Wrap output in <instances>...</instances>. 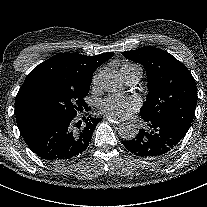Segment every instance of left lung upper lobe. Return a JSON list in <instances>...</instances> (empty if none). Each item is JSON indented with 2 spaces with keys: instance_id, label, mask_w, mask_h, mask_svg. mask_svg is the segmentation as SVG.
I'll use <instances>...</instances> for the list:
<instances>
[{
  "instance_id": "1",
  "label": "left lung upper lobe",
  "mask_w": 207,
  "mask_h": 207,
  "mask_svg": "<svg viewBox=\"0 0 207 207\" xmlns=\"http://www.w3.org/2000/svg\"><path fill=\"white\" fill-rule=\"evenodd\" d=\"M145 67L148 96L140 114L143 119H169L188 130L197 104V86L191 72L166 51L154 47L122 52Z\"/></svg>"
}]
</instances>
